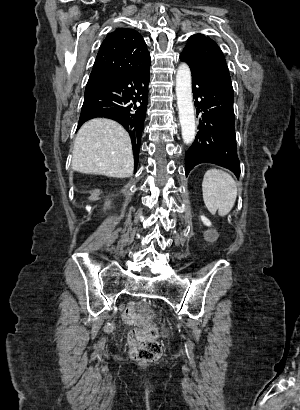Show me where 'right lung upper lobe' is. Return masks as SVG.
<instances>
[{"label": "right lung upper lobe", "instance_id": "cb5924a9", "mask_svg": "<svg viewBox=\"0 0 300 410\" xmlns=\"http://www.w3.org/2000/svg\"><path fill=\"white\" fill-rule=\"evenodd\" d=\"M150 53L142 36L133 29L117 28L102 42L88 83H94L126 70L143 69ZM140 147L134 149L137 157Z\"/></svg>", "mask_w": 300, "mask_h": 410}]
</instances>
